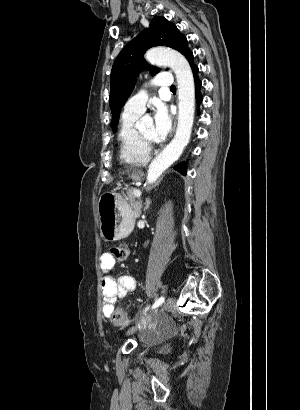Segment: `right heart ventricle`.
Segmentation results:
<instances>
[{"label": "right heart ventricle", "mask_w": 300, "mask_h": 410, "mask_svg": "<svg viewBox=\"0 0 300 410\" xmlns=\"http://www.w3.org/2000/svg\"><path fill=\"white\" fill-rule=\"evenodd\" d=\"M139 116L140 113L124 111L118 130L120 159L131 165H144L151 156L150 148L142 142L136 128Z\"/></svg>", "instance_id": "1"}]
</instances>
